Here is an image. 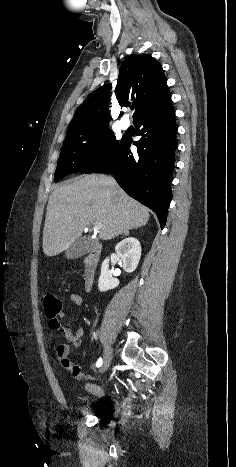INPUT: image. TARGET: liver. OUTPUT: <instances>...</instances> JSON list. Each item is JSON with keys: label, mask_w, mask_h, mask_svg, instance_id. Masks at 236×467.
<instances>
[{"label": "liver", "mask_w": 236, "mask_h": 467, "mask_svg": "<svg viewBox=\"0 0 236 467\" xmlns=\"http://www.w3.org/2000/svg\"><path fill=\"white\" fill-rule=\"evenodd\" d=\"M149 210L129 197L105 175H84L51 193L43 230V252L56 256L67 250L86 226L102 224L99 238L110 240L125 231L142 227Z\"/></svg>", "instance_id": "obj_1"}]
</instances>
